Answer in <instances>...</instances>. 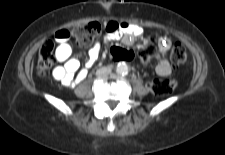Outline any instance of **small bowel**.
Masks as SVG:
<instances>
[{"label":"small bowel","mask_w":225,"mask_h":155,"mask_svg":"<svg viewBox=\"0 0 225 155\" xmlns=\"http://www.w3.org/2000/svg\"><path fill=\"white\" fill-rule=\"evenodd\" d=\"M108 41L122 39L126 45L134 44L136 38L143 34V29L128 22L109 21L106 23ZM54 41L58 44L56 59L63 65L53 70V77L65 86H74L83 81L91 67L99 57L100 43L96 42L89 50V59L86 68L79 69V61L71 57L72 49L69 43L72 41V32L68 28H58L54 32ZM171 40L166 36L157 38V46L160 53V60L156 66V72L160 76H168L172 71L168 60V53L171 48Z\"/></svg>","instance_id":"c3829d8e"}]
</instances>
